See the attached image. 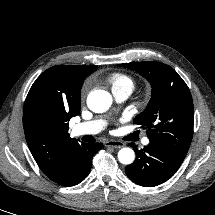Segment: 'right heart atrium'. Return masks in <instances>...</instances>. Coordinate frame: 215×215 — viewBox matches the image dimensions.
I'll return each mask as SVG.
<instances>
[{
	"label": "right heart atrium",
	"mask_w": 215,
	"mask_h": 215,
	"mask_svg": "<svg viewBox=\"0 0 215 215\" xmlns=\"http://www.w3.org/2000/svg\"><path fill=\"white\" fill-rule=\"evenodd\" d=\"M86 90H87V86H85V87L83 88V91H82V94H83V95L85 94Z\"/></svg>",
	"instance_id": "obj_1"
}]
</instances>
